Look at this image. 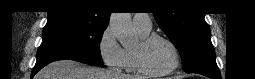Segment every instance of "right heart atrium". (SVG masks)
<instances>
[{"label":"right heart atrium","instance_id":"obj_1","mask_svg":"<svg viewBox=\"0 0 255 79\" xmlns=\"http://www.w3.org/2000/svg\"><path fill=\"white\" fill-rule=\"evenodd\" d=\"M98 49L105 65L116 71L124 68V49L118 44L109 27L104 29L99 40Z\"/></svg>","mask_w":255,"mask_h":79}]
</instances>
